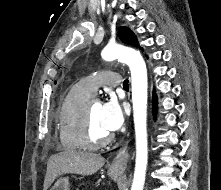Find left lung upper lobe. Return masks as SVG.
Returning a JSON list of instances; mask_svg holds the SVG:
<instances>
[{
  "label": "left lung upper lobe",
  "mask_w": 221,
  "mask_h": 190,
  "mask_svg": "<svg viewBox=\"0 0 221 190\" xmlns=\"http://www.w3.org/2000/svg\"><path fill=\"white\" fill-rule=\"evenodd\" d=\"M119 37L123 43L139 47L136 35L128 28L121 27ZM139 48L142 49L141 47Z\"/></svg>",
  "instance_id": "obj_1"
}]
</instances>
